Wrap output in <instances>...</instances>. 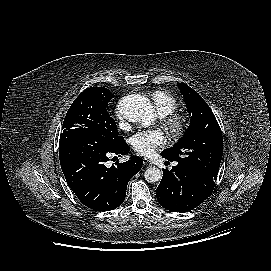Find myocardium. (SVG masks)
I'll list each match as a JSON object with an SVG mask.
<instances>
[{
  "instance_id": "1",
  "label": "myocardium",
  "mask_w": 271,
  "mask_h": 271,
  "mask_svg": "<svg viewBox=\"0 0 271 271\" xmlns=\"http://www.w3.org/2000/svg\"><path fill=\"white\" fill-rule=\"evenodd\" d=\"M167 126L174 137L184 136L190 128V121L182 115H174L167 119Z\"/></svg>"
}]
</instances>
